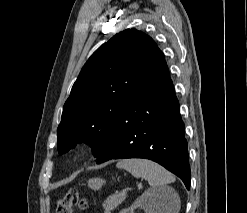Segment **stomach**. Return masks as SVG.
I'll list each match as a JSON object with an SVG mask.
<instances>
[{
  "instance_id": "0dacf381",
  "label": "stomach",
  "mask_w": 247,
  "mask_h": 213,
  "mask_svg": "<svg viewBox=\"0 0 247 213\" xmlns=\"http://www.w3.org/2000/svg\"><path fill=\"white\" fill-rule=\"evenodd\" d=\"M104 183L105 180L102 178H92L88 181V186L93 190H99Z\"/></svg>"
}]
</instances>
